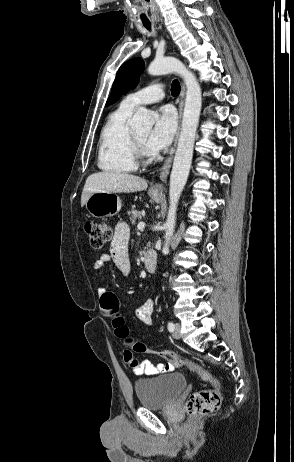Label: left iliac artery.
<instances>
[{"mask_svg": "<svg viewBox=\"0 0 294 462\" xmlns=\"http://www.w3.org/2000/svg\"><path fill=\"white\" fill-rule=\"evenodd\" d=\"M167 327H168V330H169L170 332H172V331L174 330V324H173L172 322H170V321L168 322V326H167Z\"/></svg>", "mask_w": 294, "mask_h": 462, "instance_id": "1", "label": "left iliac artery"}]
</instances>
